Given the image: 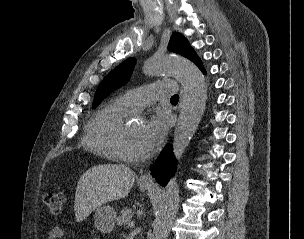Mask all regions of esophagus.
I'll return each mask as SVG.
<instances>
[{"label": "esophagus", "mask_w": 304, "mask_h": 239, "mask_svg": "<svg viewBox=\"0 0 304 239\" xmlns=\"http://www.w3.org/2000/svg\"><path fill=\"white\" fill-rule=\"evenodd\" d=\"M180 101L177 106V111L179 112L183 107V89L180 90ZM139 182L143 184H153L154 179L151 176L150 172H147L139 177Z\"/></svg>", "instance_id": "1"}]
</instances>
